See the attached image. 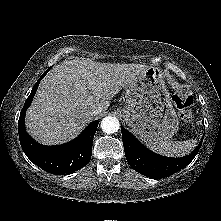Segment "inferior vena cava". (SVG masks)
<instances>
[{
  "label": "inferior vena cava",
  "mask_w": 221,
  "mask_h": 221,
  "mask_svg": "<svg viewBox=\"0 0 221 221\" xmlns=\"http://www.w3.org/2000/svg\"><path fill=\"white\" fill-rule=\"evenodd\" d=\"M101 112V110L97 107H93L90 111V114L93 116V115H97Z\"/></svg>",
  "instance_id": "602c4592"
}]
</instances>
